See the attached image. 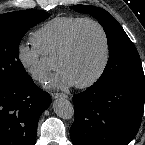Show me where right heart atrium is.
<instances>
[{
	"instance_id": "obj_1",
	"label": "right heart atrium",
	"mask_w": 145,
	"mask_h": 145,
	"mask_svg": "<svg viewBox=\"0 0 145 145\" xmlns=\"http://www.w3.org/2000/svg\"><path fill=\"white\" fill-rule=\"evenodd\" d=\"M16 56L22 69L33 80L37 82L46 80L51 66L34 44L20 43L17 46Z\"/></svg>"
}]
</instances>
